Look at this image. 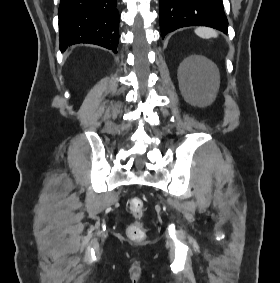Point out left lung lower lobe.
Segmentation results:
<instances>
[{"mask_svg": "<svg viewBox=\"0 0 280 283\" xmlns=\"http://www.w3.org/2000/svg\"><path fill=\"white\" fill-rule=\"evenodd\" d=\"M161 36L186 26H208L223 33L228 21L222 0H160Z\"/></svg>", "mask_w": 280, "mask_h": 283, "instance_id": "0a47b994", "label": "left lung lower lobe"}]
</instances>
